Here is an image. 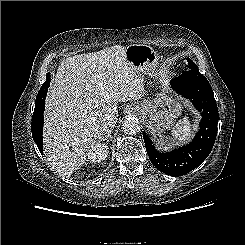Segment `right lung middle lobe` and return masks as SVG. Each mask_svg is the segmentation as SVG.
Listing matches in <instances>:
<instances>
[{"instance_id":"right-lung-middle-lobe-1","label":"right lung middle lobe","mask_w":245,"mask_h":245,"mask_svg":"<svg viewBox=\"0 0 245 245\" xmlns=\"http://www.w3.org/2000/svg\"><path fill=\"white\" fill-rule=\"evenodd\" d=\"M49 85H50V73L47 74L46 81L43 83V85L41 86L38 92V95L35 101V109L41 107L44 104Z\"/></svg>"}]
</instances>
